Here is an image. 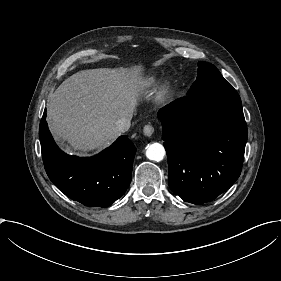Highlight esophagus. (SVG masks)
I'll return each mask as SVG.
<instances>
[{"label": "esophagus", "mask_w": 281, "mask_h": 281, "mask_svg": "<svg viewBox=\"0 0 281 281\" xmlns=\"http://www.w3.org/2000/svg\"><path fill=\"white\" fill-rule=\"evenodd\" d=\"M143 132L146 136L150 137L153 135V133L155 132V129L152 125H145L143 128Z\"/></svg>", "instance_id": "1"}]
</instances>
